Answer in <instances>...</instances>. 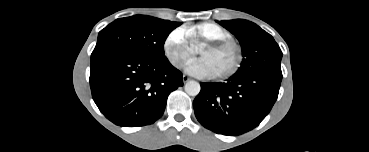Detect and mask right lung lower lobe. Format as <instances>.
<instances>
[{
    "label": "right lung lower lobe",
    "instance_id": "obj_1",
    "mask_svg": "<svg viewBox=\"0 0 369 152\" xmlns=\"http://www.w3.org/2000/svg\"><path fill=\"white\" fill-rule=\"evenodd\" d=\"M182 85V73L166 57L113 53L91 60L93 100L119 126L154 123L163 115L170 92Z\"/></svg>",
    "mask_w": 369,
    "mask_h": 152
}]
</instances>
